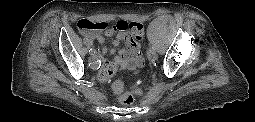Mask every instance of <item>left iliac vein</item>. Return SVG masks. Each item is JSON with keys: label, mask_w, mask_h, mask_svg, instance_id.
I'll use <instances>...</instances> for the list:
<instances>
[{"label": "left iliac vein", "mask_w": 255, "mask_h": 122, "mask_svg": "<svg viewBox=\"0 0 255 122\" xmlns=\"http://www.w3.org/2000/svg\"><path fill=\"white\" fill-rule=\"evenodd\" d=\"M149 59H151L152 61H156L158 59V54L156 52L150 53L148 55Z\"/></svg>", "instance_id": "obj_1"}]
</instances>
